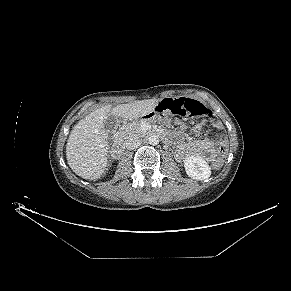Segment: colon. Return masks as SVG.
Masks as SVG:
<instances>
[{"mask_svg": "<svg viewBox=\"0 0 291 291\" xmlns=\"http://www.w3.org/2000/svg\"><path fill=\"white\" fill-rule=\"evenodd\" d=\"M157 111L175 116L202 117L212 121L213 123L216 122L214 113L210 111L203 103L194 99L167 98L157 106ZM218 150L220 154H225L228 150V145L226 142H220L218 145ZM222 164L223 160L218 158L212 163V167L214 169H219Z\"/></svg>", "mask_w": 291, "mask_h": 291, "instance_id": "1", "label": "colon"}]
</instances>
